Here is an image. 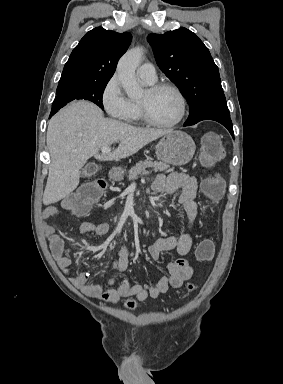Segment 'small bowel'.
Returning <instances> with one entry per match:
<instances>
[{"label":"small bowel","mask_w":283,"mask_h":384,"mask_svg":"<svg viewBox=\"0 0 283 384\" xmlns=\"http://www.w3.org/2000/svg\"><path fill=\"white\" fill-rule=\"evenodd\" d=\"M152 187L154 191H163L168 194L180 192L179 202L187 214L188 227L191 228L197 214L195 198L198 186L196 179L183 172H173L158 176L153 182ZM62 214V210L57 206L47 207L44 213L43 229L55 262L67 274L71 265V259L65 254L64 240L58 234L55 227L49 223L50 219L60 217ZM79 231L84 235L103 236L110 231V224L105 222H83L79 227ZM191 248L192 238L188 232L181 235L174 234L159 238L151 242L148 247V253L155 261L160 259L163 252L169 250H176L181 256L168 265V276L162 277L155 285H132L128 280L115 284L113 279L103 284H93L89 282V273L78 274L71 281L83 294L109 303H116L128 297H134L139 301H145L149 297L157 298L166 293L169 288L178 289L182 287L183 283L192 277L193 267L184 258ZM113 264L114 268L119 272H124L127 269L128 249L125 246L119 249Z\"/></svg>","instance_id":"obj_1"}]
</instances>
